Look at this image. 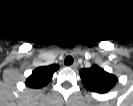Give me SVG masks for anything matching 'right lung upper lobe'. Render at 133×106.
Here are the masks:
<instances>
[{
  "label": "right lung upper lobe",
  "mask_w": 133,
  "mask_h": 106,
  "mask_svg": "<svg viewBox=\"0 0 133 106\" xmlns=\"http://www.w3.org/2000/svg\"><path fill=\"white\" fill-rule=\"evenodd\" d=\"M58 69L59 66L56 64L36 68L26 80V85L31 88L44 87L51 81L54 72Z\"/></svg>",
  "instance_id": "obj_1"
}]
</instances>
